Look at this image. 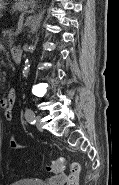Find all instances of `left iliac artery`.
I'll use <instances>...</instances> for the list:
<instances>
[{
  "label": "left iliac artery",
  "mask_w": 119,
  "mask_h": 185,
  "mask_svg": "<svg viewBox=\"0 0 119 185\" xmlns=\"http://www.w3.org/2000/svg\"><path fill=\"white\" fill-rule=\"evenodd\" d=\"M25 118L26 120L30 123V124H35V114L33 112V110L31 109H27L25 112Z\"/></svg>",
  "instance_id": "obj_1"
}]
</instances>
